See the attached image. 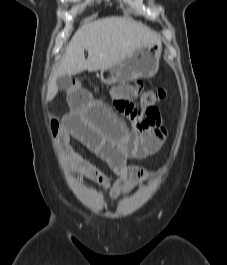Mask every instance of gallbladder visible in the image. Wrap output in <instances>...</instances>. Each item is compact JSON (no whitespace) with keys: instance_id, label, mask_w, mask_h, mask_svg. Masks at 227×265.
Masks as SVG:
<instances>
[{"instance_id":"1","label":"gallbladder","mask_w":227,"mask_h":265,"mask_svg":"<svg viewBox=\"0 0 227 265\" xmlns=\"http://www.w3.org/2000/svg\"><path fill=\"white\" fill-rule=\"evenodd\" d=\"M71 82L72 78L70 75L60 76L56 79L57 88L60 90L67 89L71 85Z\"/></svg>"}]
</instances>
